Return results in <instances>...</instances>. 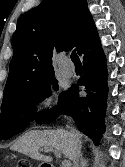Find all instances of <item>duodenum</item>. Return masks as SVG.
Masks as SVG:
<instances>
[{
  "label": "duodenum",
  "mask_w": 125,
  "mask_h": 167,
  "mask_svg": "<svg viewBox=\"0 0 125 167\" xmlns=\"http://www.w3.org/2000/svg\"><path fill=\"white\" fill-rule=\"evenodd\" d=\"M42 167H54V166H52V165H50V164H48V163H43V164H42Z\"/></svg>",
  "instance_id": "410a0bca"
}]
</instances>
